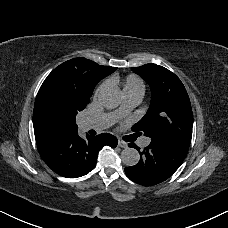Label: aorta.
<instances>
[{"instance_id":"1","label":"aorta","mask_w":228,"mask_h":228,"mask_svg":"<svg viewBox=\"0 0 228 228\" xmlns=\"http://www.w3.org/2000/svg\"><path fill=\"white\" fill-rule=\"evenodd\" d=\"M100 103L107 109H114L121 103V94L117 88L105 87L98 96ZM140 159L139 152L127 147L121 152V160L126 166H135Z\"/></svg>"}]
</instances>
